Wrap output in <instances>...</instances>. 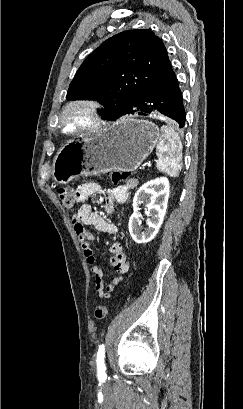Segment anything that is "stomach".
Masks as SVG:
<instances>
[{
  "label": "stomach",
  "instance_id": "stomach-1",
  "mask_svg": "<svg viewBox=\"0 0 243 409\" xmlns=\"http://www.w3.org/2000/svg\"><path fill=\"white\" fill-rule=\"evenodd\" d=\"M159 138L156 124L133 117L121 118L105 130L66 143L54 158L53 179L65 184L81 175L133 171L150 155Z\"/></svg>",
  "mask_w": 243,
  "mask_h": 409
}]
</instances>
